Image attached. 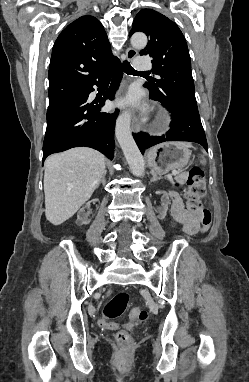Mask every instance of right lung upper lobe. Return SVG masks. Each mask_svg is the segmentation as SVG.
<instances>
[{
    "instance_id": "1",
    "label": "right lung upper lobe",
    "mask_w": 249,
    "mask_h": 382,
    "mask_svg": "<svg viewBox=\"0 0 249 382\" xmlns=\"http://www.w3.org/2000/svg\"><path fill=\"white\" fill-rule=\"evenodd\" d=\"M110 43L102 24L82 16L55 41L49 66V103L71 97L88 86L111 61Z\"/></svg>"
}]
</instances>
